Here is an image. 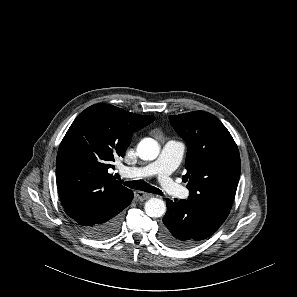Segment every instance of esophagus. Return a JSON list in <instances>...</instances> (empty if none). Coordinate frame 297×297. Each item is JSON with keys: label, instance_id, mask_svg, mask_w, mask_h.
<instances>
[{"label": "esophagus", "instance_id": "obj_1", "mask_svg": "<svg viewBox=\"0 0 297 297\" xmlns=\"http://www.w3.org/2000/svg\"><path fill=\"white\" fill-rule=\"evenodd\" d=\"M135 196L137 197L138 200L144 201L151 198L153 195L142 191H138L135 193Z\"/></svg>", "mask_w": 297, "mask_h": 297}]
</instances>
